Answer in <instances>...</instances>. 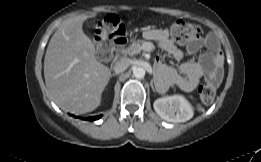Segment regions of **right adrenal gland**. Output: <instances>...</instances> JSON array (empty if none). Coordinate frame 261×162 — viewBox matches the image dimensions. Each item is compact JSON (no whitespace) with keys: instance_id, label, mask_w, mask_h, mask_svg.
<instances>
[{"instance_id":"right-adrenal-gland-1","label":"right adrenal gland","mask_w":261,"mask_h":162,"mask_svg":"<svg viewBox=\"0 0 261 162\" xmlns=\"http://www.w3.org/2000/svg\"><path fill=\"white\" fill-rule=\"evenodd\" d=\"M116 75H118V74H117V73H113V74H111V77H112V76H116Z\"/></svg>"}]
</instances>
